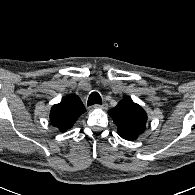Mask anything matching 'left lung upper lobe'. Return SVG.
Segmentation results:
<instances>
[{"instance_id":"obj_1","label":"left lung upper lobe","mask_w":195,"mask_h":195,"mask_svg":"<svg viewBox=\"0 0 195 195\" xmlns=\"http://www.w3.org/2000/svg\"><path fill=\"white\" fill-rule=\"evenodd\" d=\"M108 113L117 125L118 134L125 140H136L145 131L147 114L131 99L121 100Z\"/></svg>"}]
</instances>
